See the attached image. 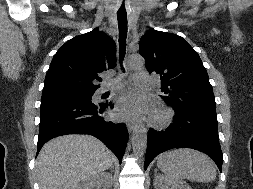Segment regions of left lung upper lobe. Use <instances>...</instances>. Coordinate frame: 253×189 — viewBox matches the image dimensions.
<instances>
[{
  "label": "left lung upper lobe",
  "mask_w": 253,
  "mask_h": 189,
  "mask_svg": "<svg viewBox=\"0 0 253 189\" xmlns=\"http://www.w3.org/2000/svg\"><path fill=\"white\" fill-rule=\"evenodd\" d=\"M139 53L147 70L159 74L161 98L173 109L216 115L207 71L198 53L182 37L150 29L140 39Z\"/></svg>",
  "instance_id": "1"
}]
</instances>
